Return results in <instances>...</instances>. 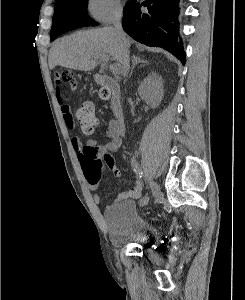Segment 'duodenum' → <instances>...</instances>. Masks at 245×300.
Here are the masks:
<instances>
[{"mask_svg": "<svg viewBox=\"0 0 245 300\" xmlns=\"http://www.w3.org/2000/svg\"><path fill=\"white\" fill-rule=\"evenodd\" d=\"M97 81L102 87L110 91L111 93L110 107L112 113L115 116L116 120L120 124L124 125V109L122 105L119 84L113 77L105 74L98 75Z\"/></svg>", "mask_w": 245, "mask_h": 300, "instance_id": "obj_1", "label": "duodenum"}]
</instances>
